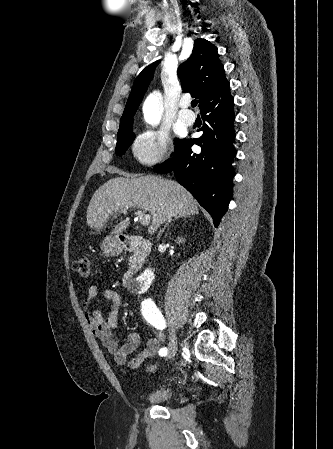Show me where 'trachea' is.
I'll use <instances>...</instances> for the list:
<instances>
[{
	"label": "trachea",
	"mask_w": 333,
	"mask_h": 449,
	"mask_svg": "<svg viewBox=\"0 0 333 449\" xmlns=\"http://www.w3.org/2000/svg\"><path fill=\"white\" fill-rule=\"evenodd\" d=\"M191 106H192V107H196V106H197V100H193V101L191 102Z\"/></svg>",
	"instance_id": "1"
}]
</instances>
